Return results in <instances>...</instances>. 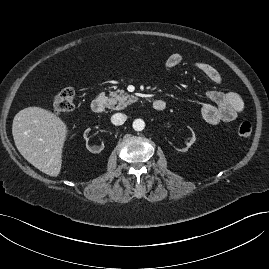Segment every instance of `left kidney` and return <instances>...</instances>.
<instances>
[{
	"label": "left kidney",
	"instance_id": "obj_1",
	"mask_svg": "<svg viewBox=\"0 0 269 269\" xmlns=\"http://www.w3.org/2000/svg\"><path fill=\"white\" fill-rule=\"evenodd\" d=\"M189 131L191 132L192 137H191L190 141L187 143V147H186V148L178 147V148H177V151H178V152H181V151H187L188 148H189V147L196 141V137H195V133H194V131H193L191 128H189Z\"/></svg>",
	"mask_w": 269,
	"mask_h": 269
}]
</instances>
